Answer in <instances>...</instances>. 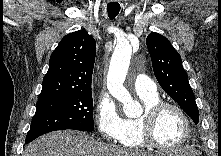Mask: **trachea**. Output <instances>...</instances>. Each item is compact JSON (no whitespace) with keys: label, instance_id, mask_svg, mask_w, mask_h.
Returning <instances> with one entry per match:
<instances>
[{"label":"trachea","instance_id":"1","mask_svg":"<svg viewBox=\"0 0 221 156\" xmlns=\"http://www.w3.org/2000/svg\"><path fill=\"white\" fill-rule=\"evenodd\" d=\"M120 11V5L117 2H111L107 5L108 17L113 20Z\"/></svg>","mask_w":221,"mask_h":156}]
</instances>
